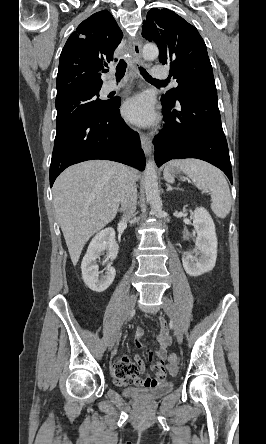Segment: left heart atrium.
<instances>
[{
    "label": "left heart atrium",
    "mask_w": 266,
    "mask_h": 444,
    "mask_svg": "<svg viewBox=\"0 0 266 444\" xmlns=\"http://www.w3.org/2000/svg\"><path fill=\"white\" fill-rule=\"evenodd\" d=\"M124 116L137 125L147 126L155 121L152 100L145 94L128 99L123 105Z\"/></svg>",
    "instance_id": "obj_1"
}]
</instances>
